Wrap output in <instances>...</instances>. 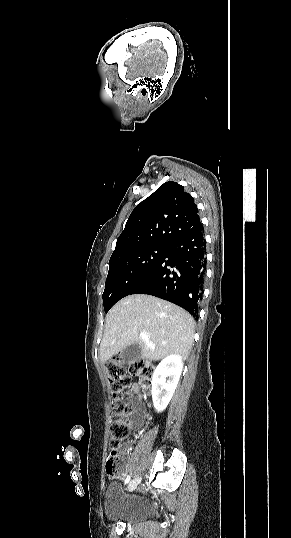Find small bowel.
<instances>
[{"instance_id":"small-bowel-1","label":"small bowel","mask_w":291,"mask_h":538,"mask_svg":"<svg viewBox=\"0 0 291 538\" xmlns=\"http://www.w3.org/2000/svg\"><path fill=\"white\" fill-rule=\"evenodd\" d=\"M132 390L138 394L137 398L133 401V406L135 408L134 416L130 421V425L133 427L140 426L143 418V407H142V396L139 394L140 388L138 385H134ZM122 456L126 459L127 454L123 453ZM124 476V474H122Z\"/></svg>"}]
</instances>
